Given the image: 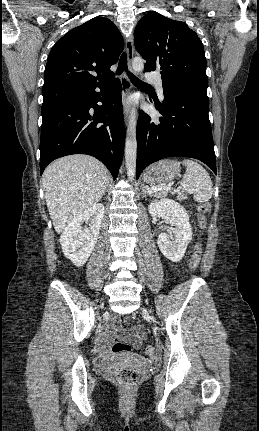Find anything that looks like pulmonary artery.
Instances as JSON below:
<instances>
[{"label":"pulmonary artery","mask_w":259,"mask_h":431,"mask_svg":"<svg viewBox=\"0 0 259 431\" xmlns=\"http://www.w3.org/2000/svg\"><path fill=\"white\" fill-rule=\"evenodd\" d=\"M147 79L149 81L153 82L156 85L157 92H158L159 96L162 98L163 97V87H162L163 86V82H162V79L158 75H155V74H149V75H147Z\"/></svg>","instance_id":"e3ab8cb5"}]
</instances>
